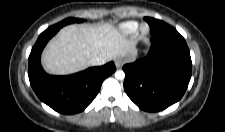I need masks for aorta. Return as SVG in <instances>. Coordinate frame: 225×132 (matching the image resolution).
Segmentation results:
<instances>
[{
    "mask_svg": "<svg viewBox=\"0 0 225 132\" xmlns=\"http://www.w3.org/2000/svg\"><path fill=\"white\" fill-rule=\"evenodd\" d=\"M115 78H116L117 80H124V78H125V73H124V71H123V70H117V71L115 72Z\"/></svg>",
    "mask_w": 225,
    "mask_h": 132,
    "instance_id": "762f6f07",
    "label": "aorta"
}]
</instances>
